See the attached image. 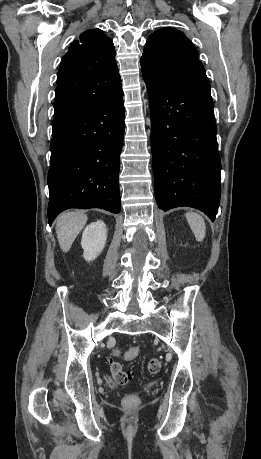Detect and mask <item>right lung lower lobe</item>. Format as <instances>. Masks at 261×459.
I'll return each mask as SVG.
<instances>
[{
	"label": "right lung lower lobe",
	"mask_w": 261,
	"mask_h": 459,
	"mask_svg": "<svg viewBox=\"0 0 261 459\" xmlns=\"http://www.w3.org/2000/svg\"><path fill=\"white\" fill-rule=\"evenodd\" d=\"M122 87L85 113L53 127L48 220L69 208L120 212L119 162L124 137Z\"/></svg>",
	"instance_id": "right-lung-lower-lobe-1"
}]
</instances>
